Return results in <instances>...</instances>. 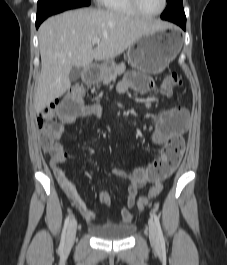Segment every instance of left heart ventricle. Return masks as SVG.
Here are the masks:
<instances>
[{"mask_svg":"<svg viewBox=\"0 0 227 265\" xmlns=\"http://www.w3.org/2000/svg\"><path fill=\"white\" fill-rule=\"evenodd\" d=\"M141 9L148 14L156 13L162 6V0H139Z\"/></svg>","mask_w":227,"mask_h":265,"instance_id":"b2bd125f","label":"left heart ventricle"}]
</instances>
